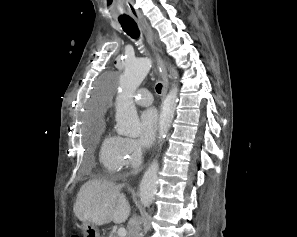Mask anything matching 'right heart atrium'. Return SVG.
<instances>
[{
  "mask_svg": "<svg viewBox=\"0 0 297 237\" xmlns=\"http://www.w3.org/2000/svg\"><path fill=\"white\" fill-rule=\"evenodd\" d=\"M122 157L125 168H136L142 160L143 148L134 139H124Z\"/></svg>",
  "mask_w": 297,
  "mask_h": 237,
  "instance_id": "1",
  "label": "right heart atrium"
}]
</instances>
